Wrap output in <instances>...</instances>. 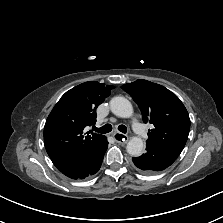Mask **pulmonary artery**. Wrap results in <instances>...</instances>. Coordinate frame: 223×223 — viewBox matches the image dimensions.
Wrapping results in <instances>:
<instances>
[{
  "label": "pulmonary artery",
  "instance_id": "e3ab8cb5",
  "mask_svg": "<svg viewBox=\"0 0 223 223\" xmlns=\"http://www.w3.org/2000/svg\"><path fill=\"white\" fill-rule=\"evenodd\" d=\"M132 127L138 136H141V137L145 136L144 129H143L142 125L137 120L133 121Z\"/></svg>",
  "mask_w": 223,
  "mask_h": 223
}]
</instances>
